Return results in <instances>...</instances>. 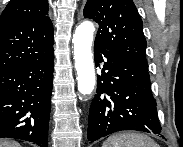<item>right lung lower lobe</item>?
<instances>
[{
  "mask_svg": "<svg viewBox=\"0 0 183 147\" xmlns=\"http://www.w3.org/2000/svg\"><path fill=\"white\" fill-rule=\"evenodd\" d=\"M53 51L0 73V138L48 147Z\"/></svg>",
  "mask_w": 183,
  "mask_h": 147,
  "instance_id": "98d812e1",
  "label": "right lung lower lobe"
}]
</instances>
